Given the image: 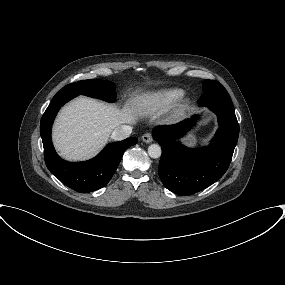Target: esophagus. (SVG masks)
<instances>
[{"mask_svg":"<svg viewBox=\"0 0 285 285\" xmlns=\"http://www.w3.org/2000/svg\"><path fill=\"white\" fill-rule=\"evenodd\" d=\"M142 140L143 142L145 143H151L153 141V136L152 134L150 133H145L143 136H142Z\"/></svg>","mask_w":285,"mask_h":285,"instance_id":"esophagus-1","label":"esophagus"}]
</instances>
